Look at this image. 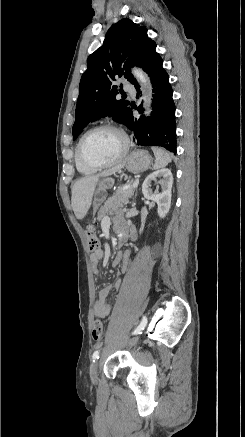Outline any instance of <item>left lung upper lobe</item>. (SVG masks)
I'll return each instance as SVG.
<instances>
[{"label": "left lung upper lobe", "instance_id": "1", "mask_svg": "<svg viewBox=\"0 0 245 437\" xmlns=\"http://www.w3.org/2000/svg\"><path fill=\"white\" fill-rule=\"evenodd\" d=\"M154 47L156 44L148 38L146 27H140L128 18L110 27L103 45L87 59V70L79 85L73 140L90 122L101 117H113L126 125L130 103L116 99L121 89L113 85V81L124 77L133 83L135 79L130 67H140Z\"/></svg>", "mask_w": 245, "mask_h": 437}]
</instances>
